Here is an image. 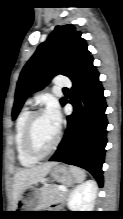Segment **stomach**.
Returning <instances> with one entry per match:
<instances>
[{
	"label": "stomach",
	"mask_w": 123,
	"mask_h": 219,
	"mask_svg": "<svg viewBox=\"0 0 123 219\" xmlns=\"http://www.w3.org/2000/svg\"><path fill=\"white\" fill-rule=\"evenodd\" d=\"M49 173L53 180L62 184L71 185L77 181L71 170L61 164H55ZM21 203V208L26 209L23 211H35L34 209L39 208L40 205L39 191L34 187H30L29 192L22 199Z\"/></svg>",
	"instance_id": "obj_1"
}]
</instances>
